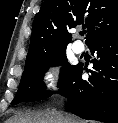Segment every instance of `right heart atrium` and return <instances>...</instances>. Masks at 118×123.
I'll use <instances>...</instances> for the list:
<instances>
[{"mask_svg": "<svg viewBox=\"0 0 118 123\" xmlns=\"http://www.w3.org/2000/svg\"><path fill=\"white\" fill-rule=\"evenodd\" d=\"M59 82V71L54 66L47 67L42 73V83L49 90L56 89Z\"/></svg>", "mask_w": 118, "mask_h": 123, "instance_id": "obj_1", "label": "right heart atrium"}]
</instances>
